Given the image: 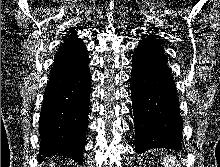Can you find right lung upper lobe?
Wrapping results in <instances>:
<instances>
[{"mask_svg": "<svg viewBox=\"0 0 220 167\" xmlns=\"http://www.w3.org/2000/svg\"><path fill=\"white\" fill-rule=\"evenodd\" d=\"M89 60L84 43L77 37L76 31H68L64 44L59 47L54 61L53 72L73 69Z\"/></svg>", "mask_w": 220, "mask_h": 167, "instance_id": "obj_1", "label": "right lung upper lobe"}]
</instances>
